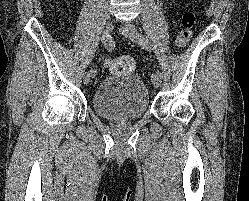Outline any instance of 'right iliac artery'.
<instances>
[{
  "label": "right iliac artery",
  "instance_id": "obj_1",
  "mask_svg": "<svg viewBox=\"0 0 249 201\" xmlns=\"http://www.w3.org/2000/svg\"><path fill=\"white\" fill-rule=\"evenodd\" d=\"M101 41H102V44L104 45V47H105L107 50L110 51L111 48H112V41H111L109 35H103V36L101 37ZM89 72H90V74H91V77H95L96 74H97V71H96V70H93V69L90 70Z\"/></svg>",
  "mask_w": 249,
  "mask_h": 201
}]
</instances>
